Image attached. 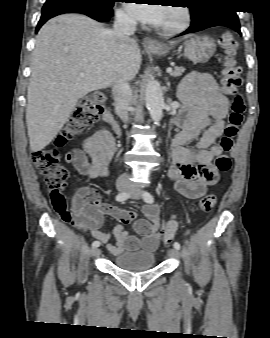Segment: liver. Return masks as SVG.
<instances>
[{
  "mask_svg": "<svg viewBox=\"0 0 270 338\" xmlns=\"http://www.w3.org/2000/svg\"><path fill=\"white\" fill-rule=\"evenodd\" d=\"M140 65L134 39L117 40L111 30L84 15L64 14L49 20L36 37L27 92L31 151L50 144L79 99L119 79L131 81Z\"/></svg>",
  "mask_w": 270,
  "mask_h": 338,
  "instance_id": "1",
  "label": "liver"
}]
</instances>
